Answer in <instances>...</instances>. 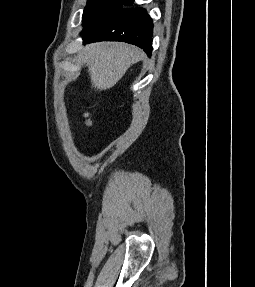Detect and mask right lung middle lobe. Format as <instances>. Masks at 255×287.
<instances>
[{
	"label": "right lung middle lobe",
	"instance_id": "dd1d6c3e",
	"mask_svg": "<svg viewBox=\"0 0 255 287\" xmlns=\"http://www.w3.org/2000/svg\"><path fill=\"white\" fill-rule=\"evenodd\" d=\"M133 0H88L83 12L82 33L105 20L126 5H131Z\"/></svg>",
	"mask_w": 255,
	"mask_h": 287
}]
</instances>
